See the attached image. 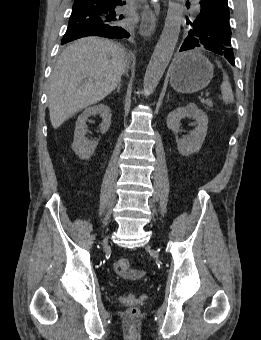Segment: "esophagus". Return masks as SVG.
<instances>
[{
  "label": "esophagus",
  "mask_w": 261,
  "mask_h": 340,
  "mask_svg": "<svg viewBox=\"0 0 261 340\" xmlns=\"http://www.w3.org/2000/svg\"><path fill=\"white\" fill-rule=\"evenodd\" d=\"M157 27V18L153 11L148 7L144 9L142 22L140 26V34L144 37H150L154 34Z\"/></svg>",
  "instance_id": "esophagus-1"
}]
</instances>
